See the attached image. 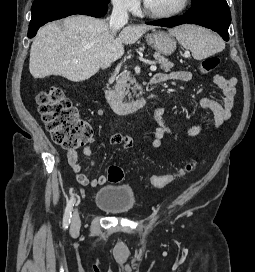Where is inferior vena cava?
<instances>
[{
    "label": "inferior vena cava",
    "instance_id": "obj_1",
    "mask_svg": "<svg viewBox=\"0 0 255 272\" xmlns=\"http://www.w3.org/2000/svg\"><path fill=\"white\" fill-rule=\"evenodd\" d=\"M128 19L129 16L126 5L122 2L114 3L112 14L109 20V27L111 32L115 35L116 32L128 22Z\"/></svg>",
    "mask_w": 255,
    "mask_h": 272
}]
</instances>
